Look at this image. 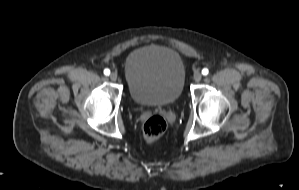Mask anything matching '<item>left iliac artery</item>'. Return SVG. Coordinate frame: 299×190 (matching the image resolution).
<instances>
[{
	"label": "left iliac artery",
	"instance_id": "left-iliac-artery-1",
	"mask_svg": "<svg viewBox=\"0 0 299 190\" xmlns=\"http://www.w3.org/2000/svg\"><path fill=\"white\" fill-rule=\"evenodd\" d=\"M209 73V70L207 69V68H204L203 70H202V74L203 75H207Z\"/></svg>",
	"mask_w": 299,
	"mask_h": 190
}]
</instances>
